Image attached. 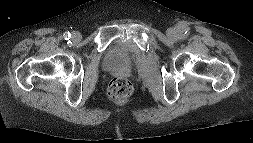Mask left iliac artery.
<instances>
[{
    "label": "left iliac artery",
    "mask_w": 253,
    "mask_h": 143,
    "mask_svg": "<svg viewBox=\"0 0 253 143\" xmlns=\"http://www.w3.org/2000/svg\"><path fill=\"white\" fill-rule=\"evenodd\" d=\"M188 31H189L188 28H183V29L181 30V37H182V38H185V37L188 35Z\"/></svg>",
    "instance_id": "left-iliac-artery-1"
}]
</instances>
